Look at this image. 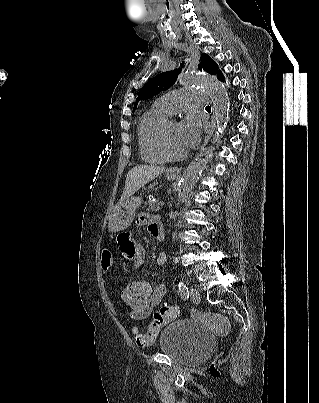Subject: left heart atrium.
I'll use <instances>...</instances> for the list:
<instances>
[{"instance_id":"1","label":"left heart atrium","mask_w":319,"mask_h":403,"mask_svg":"<svg viewBox=\"0 0 319 403\" xmlns=\"http://www.w3.org/2000/svg\"><path fill=\"white\" fill-rule=\"evenodd\" d=\"M201 124L199 119L191 114L179 125V139L185 150L193 148L199 141Z\"/></svg>"}]
</instances>
